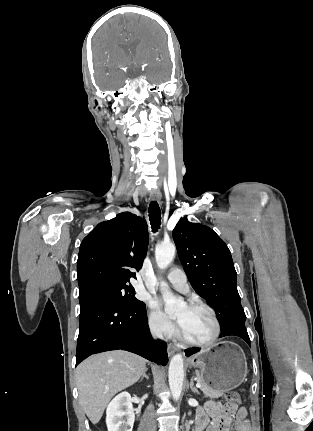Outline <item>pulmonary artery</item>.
I'll return each mask as SVG.
<instances>
[{
	"label": "pulmonary artery",
	"mask_w": 313,
	"mask_h": 431,
	"mask_svg": "<svg viewBox=\"0 0 313 431\" xmlns=\"http://www.w3.org/2000/svg\"><path fill=\"white\" fill-rule=\"evenodd\" d=\"M168 282L177 290L186 293L189 285L185 273L179 268H172L166 276Z\"/></svg>",
	"instance_id": "1"
}]
</instances>
